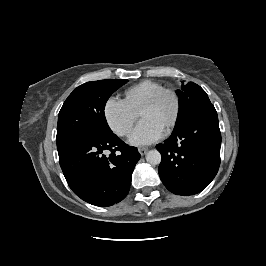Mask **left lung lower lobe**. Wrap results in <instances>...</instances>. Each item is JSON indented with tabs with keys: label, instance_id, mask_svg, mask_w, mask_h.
Listing matches in <instances>:
<instances>
[{
	"label": "left lung lower lobe",
	"instance_id": "left-lung-lower-lobe-1",
	"mask_svg": "<svg viewBox=\"0 0 266 266\" xmlns=\"http://www.w3.org/2000/svg\"><path fill=\"white\" fill-rule=\"evenodd\" d=\"M220 147L217 112L209 104L190 115L156 147L162 156L158 172L165 187L177 195L201 192L218 172Z\"/></svg>",
	"mask_w": 266,
	"mask_h": 266
}]
</instances>
